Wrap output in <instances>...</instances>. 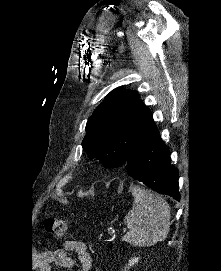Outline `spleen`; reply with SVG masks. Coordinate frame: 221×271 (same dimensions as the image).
Wrapping results in <instances>:
<instances>
[{"mask_svg": "<svg viewBox=\"0 0 221 271\" xmlns=\"http://www.w3.org/2000/svg\"><path fill=\"white\" fill-rule=\"evenodd\" d=\"M132 195L133 207L124 219L128 233H125L123 241L139 247L164 241L171 225L169 203L160 195H153L141 187H134Z\"/></svg>", "mask_w": 221, "mask_h": 271, "instance_id": "3e777b00", "label": "spleen"}]
</instances>
